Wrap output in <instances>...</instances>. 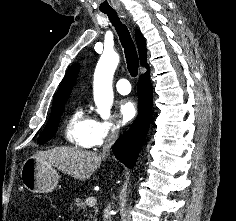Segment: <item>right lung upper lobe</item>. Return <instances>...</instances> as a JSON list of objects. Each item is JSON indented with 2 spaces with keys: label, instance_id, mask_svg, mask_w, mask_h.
Wrapping results in <instances>:
<instances>
[{
  "label": "right lung upper lobe",
  "instance_id": "obj_1",
  "mask_svg": "<svg viewBox=\"0 0 236 221\" xmlns=\"http://www.w3.org/2000/svg\"><path fill=\"white\" fill-rule=\"evenodd\" d=\"M135 39H136V43H137V47H138V51H139V56H140V62L143 66H145L148 69V65H147V50H146V46H145V39L142 36L141 32L136 30L135 32ZM79 68L80 65L74 64L72 65L66 75L64 76L61 85L54 97V101H53V106L62 104V103H66V101L68 100L72 88L74 86L75 80L77 78L78 72H79Z\"/></svg>",
  "mask_w": 236,
  "mask_h": 221
}]
</instances>
